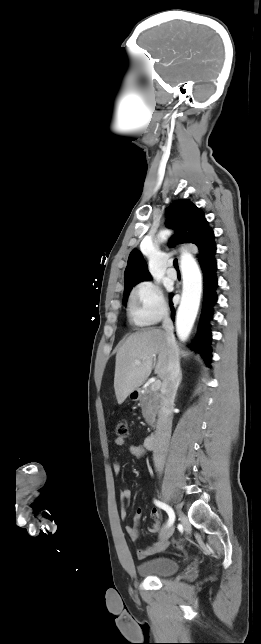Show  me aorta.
Masks as SVG:
<instances>
[{
    "label": "aorta",
    "mask_w": 261,
    "mask_h": 644,
    "mask_svg": "<svg viewBox=\"0 0 261 644\" xmlns=\"http://www.w3.org/2000/svg\"><path fill=\"white\" fill-rule=\"evenodd\" d=\"M183 292L177 311V334L185 341L193 327L200 303L201 277L193 257L185 253L181 257Z\"/></svg>",
    "instance_id": "762f6f07"
}]
</instances>
